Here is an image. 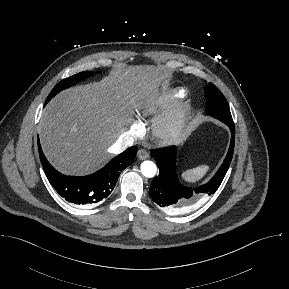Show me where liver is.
Listing matches in <instances>:
<instances>
[{
    "instance_id": "6515ba94",
    "label": "liver",
    "mask_w": 289,
    "mask_h": 289,
    "mask_svg": "<svg viewBox=\"0 0 289 289\" xmlns=\"http://www.w3.org/2000/svg\"><path fill=\"white\" fill-rule=\"evenodd\" d=\"M164 76L153 65L122 66L100 82L69 88L44 108L39 137L48 161L66 175H86L112 156L135 108L155 99Z\"/></svg>"
}]
</instances>
